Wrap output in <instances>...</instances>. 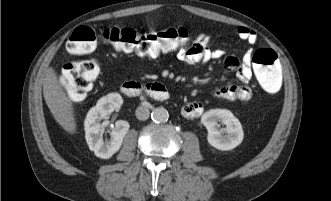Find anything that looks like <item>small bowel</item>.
<instances>
[{
	"mask_svg": "<svg viewBox=\"0 0 331 201\" xmlns=\"http://www.w3.org/2000/svg\"><path fill=\"white\" fill-rule=\"evenodd\" d=\"M238 35L249 44H254L257 41V33L247 27H240L238 29ZM210 42L211 38L208 34H200L193 43L179 48L177 53L178 59L187 65H195L197 63H207L212 60L224 58V67L229 71H234L237 79L242 84L217 88L213 92L214 97L221 101L249 100L252 97V91L246 84L252 79L254 72L252 51H246L240 61L234 56L224 57V50L219 48L212 49ZM202 112L203 104L199 101L187 103L181 109L182 115L187 118H196Z\"/></svg>",
	"mask_w": 331,
	"mask_h": 201,
	"instance_id": "obj_1",
	"label": "small bowel"
}]
</instances>
